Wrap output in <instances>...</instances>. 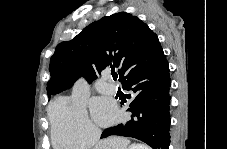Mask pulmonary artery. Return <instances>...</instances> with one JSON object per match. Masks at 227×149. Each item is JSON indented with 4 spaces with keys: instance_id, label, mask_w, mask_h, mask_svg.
I'll return each mask as SVG.
<instances>
[{
    "instance_id": "pulmonary-artery-1",
    "label": "pulmonary artery",
    "mask_w": 227,
    "mask_h": 149,
    "mask_svg": "<svg viewBox=\"0 0 227 149\" xmlns=\"http://www.w3.org/2000/svg\"><path fill=\"white\" fill-rule=\"evenodd\" d=\"M103 79L106 81V83L99 82L97 86L103 90L115 92L116 90L114 85L110 83V77L104 76Z\"/></svg>"
}]
</instances>
